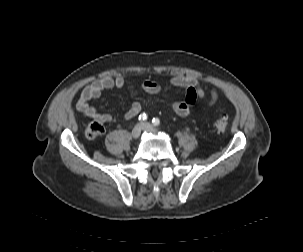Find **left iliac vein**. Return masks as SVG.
Wrapping results in <instances>:
<instances>
[{
  "label": "left iliac vein",
  "instance_id": "obj_1",
  "mask_svg": "<svg viewBox=\"0 0 303 252\" xmlns=\"http://www.w3.org/2000/svg\"><path fill=\"white\" fill-rule=\"evenodd\" d=\"M142 130L147 131V132H157V129L155 127H153L151 124H149L148 122H143L141 124Z\"/></svg>",
  "mask_w": 303,
  "mask_h": 252
}]
</instances>
